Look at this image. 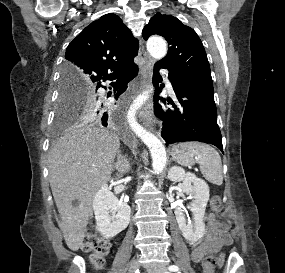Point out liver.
I'll use <instances>...</instances> for the list:
<instances>
[{"mask_svg":"<svg viewBox=\"0 0 285 273\" xmlns=\"http://www.w3.org/2000/svg\"><path fill=\"white\" fill-rule=\"evenodd\" d=\"M119 147L118 135L86 125L70 129L50 150V187L62 220L60 229L72 251L82 245L93 199L110 180Z\"/></svg>","mask_w":285,"mask_h":273,"instance_id":"liver-1","label":"liver"}]
</instances>
